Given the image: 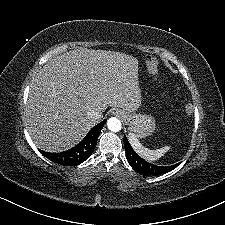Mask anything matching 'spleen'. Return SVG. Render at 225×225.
Returning a JSON list of instances; mask_svg holds the SVG:
<instances>
[{
	"mask_svg": "<svg viewBox=\"0 0 225 225\" xmlns=\"http://www.w3.org/2000/svg\"><path fill=\"white\" fill-rule=\"evenodd\" d=\"M128 139L134 151L148 162L158 160L170 149L169 146H164L156 150L148 149L143 146L137 136L132 133H129Z\"/></svg>",
	"mask_w": 225,
	"mask_h": 225,
	"instance_id": "3e777b00",
	"label": "spleen"
}]
</instances>
